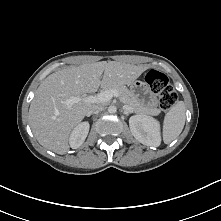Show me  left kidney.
<instances>
[{
    "instance_id": "5707ae66",
    "label": "left kidney",
    "mask_w": 221,
    "mask_h": 221,
    "mask_svg": "<svg viewBox=\"0 0 221 221\" xmlns=\"http://www.w3.org/2000/svg\"><path fill=\"white\" fill-rule=\"evenodd\" d=\"M129 126L132 135L140 143L150 147H158L160 145V124L153 117L147 115L131 116Z\"/></svg>"
}]
</instances>
